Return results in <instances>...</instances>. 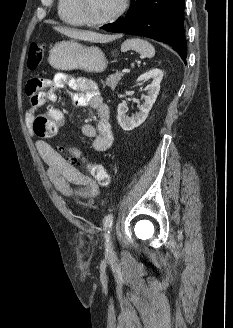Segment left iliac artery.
<instances>
[{
    "mask_svg": "<svg viewBox=\"0 0 233 328\" xmlns=\"http://www.w3.org/2000/svg\"><path fill=\"white\" fill-rule=\"evenodd\" d=\"M112 224H113V215L108 214L105 217V221H104V230H105V238L106 239L109 237V233L112 229Z\"/></svg>",
    "mask_w": 233,
    "mask_h": 328,
    "instance_id": "left-iliac-artery-1",
    "label": "left iliac artery"
}]
</instances>
